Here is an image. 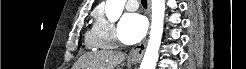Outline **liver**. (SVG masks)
I'll list each match as a JSON object with an SVG mask.
<instances>
[{"label": "liver", "mask_w": 246, "mask_h": 69, "mask_svg": "<svg viewBox=\"0 0 246 69\" xmlns=\"http://www.w3.org/2000/svg\"><path fill=\"white\" fill-rule=\"evenodd\" d=\"M125 60V55L118 51H98L83 55L76 63V69H115Z\"/></svg>", "instance_id": "obj_1"}]
</instances>
